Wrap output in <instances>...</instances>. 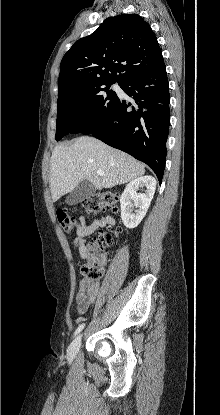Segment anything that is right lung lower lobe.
I'll return each instance as SVG.
<instances>
[{
  "instance_id": "98d812e1",
  "label": "right lung lower lobe",
  "mask_w": 220,
  "mask_h": 415,
  "mask_svg": "<svg viewBox=\"0 0 220 415\" xmlns=\"http://www.w3.org/2000/svg\"><path fill=\"white\" fill-rule=\"evenodd\" d=\"M131 101L118 97L110 114L92 134L146 163L161 183L170 124V95L165 63L119 84Z\"/></svg>"
}]
</instances>
